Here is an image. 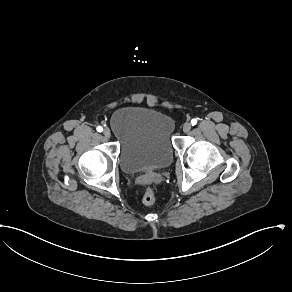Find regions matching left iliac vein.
Returning a JSON list of instances; mask_svg holds the SVG:
<instances>
[{
  "label": "left iliac vein",
  "mask_w": 292,
  "mask_h": 292,
  "mask_svg": "<svg viewBox=\"0 0 292 292\" xmlns=\"http://www.w3.org/2000/svg\"><path fill=\"white\" fill-rule=\"evenodd\" d=\"M191 124L189 123V122H186V123H184V125H183V131L185 132V133H187V132H189L190 130H191Z\"/></svg>",
  "instance_id": "1"
}]
</instances>
